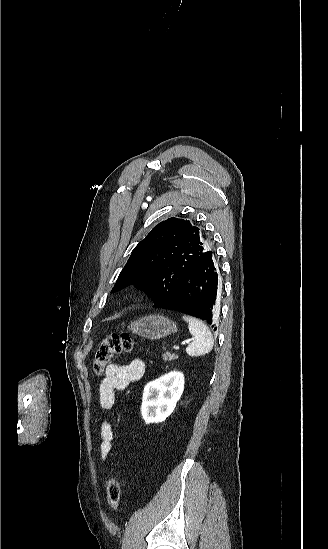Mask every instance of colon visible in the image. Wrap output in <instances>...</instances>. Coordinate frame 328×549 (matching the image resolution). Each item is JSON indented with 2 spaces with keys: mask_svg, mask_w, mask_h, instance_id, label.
I'll use <instances>...</instances> for the list:
<instances>
[{
  "mask_svg": "<svg viewBox=\"0 0 328 549\" xmlns=\"http://www.w3.org/2000/svg\"><path fill=\"white\" fill-rule=\"evenodd\" d=\"M134 346V339L126 333L112 334L105 338L95 352L93 360V369L95 373L100 374L113 356L131 352ZM120 495L121 486L119 479L116 476H112L107 482V503L112 510L117 509Z\"/></svg>",
  "mask_w": 328,
  "mask_h": 549,
  "instance_id": "1",
  "label": "colon"
}]
</instances>
